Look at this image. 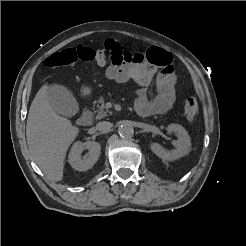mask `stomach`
<instances>
[{
  "label": "stomach",
  "instance_id": "obj_1",
  "mask_svg": "<svg viewBox=\"0 0 246 246\" xmlns=\"http://www.w3.org/2000/svg\"><path fill=\"white\" fill-rule=\"evenodd\" d=\"M90 91H91V89L89 87L84 88V92L89 93Z\"/></svg>",
  "mask_w": 246,
  "mask_h": 246
}]
</instances>
